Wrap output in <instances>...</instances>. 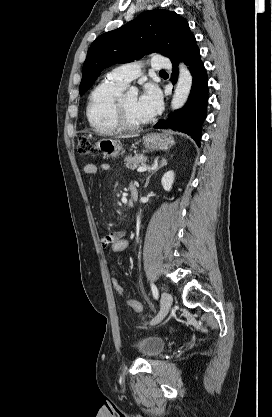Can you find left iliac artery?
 <instances>
[{
    "instance_id": "left-iliac-artery-1",
    "label": "left iliac artery",
    "mask_w": 272,
    "mask_h": 417,
    "mask_svg": "<svg viewBox=\"0 0 272 417\" xmlns=\"http://www.w3.org/2000/svg\"><path fill=\"white\" fill-rule=\"evenodd\" d=\"M151 290H152V294H153V297L155 298V299H158V297H159V292H158V289H157V287H156V285L155 284H151Z\"/></svg>"
}]
</instances>
